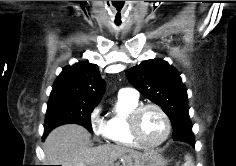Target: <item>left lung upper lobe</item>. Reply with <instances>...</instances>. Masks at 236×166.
<instances>
[{"label": "left lung upper lobe", "mask_w": 236, "mask_h": 166, "mask_svg": "<svg viewBox=\"0 0 236 166\" xmlns=\"http://www.w3.org/2000/svg\"><path fill=\"white\" fill-rule=\"evenodd\" d=\"M126 75L146 98L162 107L171 122H183L192 129L186 88L180 74L168 62L146 60L128 69Z\"/></svg>", "instance_id": "5c2ea615"}]
</instances>
